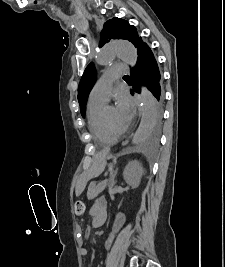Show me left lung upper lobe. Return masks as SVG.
Returning <instances> with one entry per match:
<instances>
[{
	"label": "left lung upper lobe",
	"instance_id": "left-lung-upper-lobe-1",
	"mask_svg": "<svg viewBox=\"0 0 225 267\" xmlns=\"http://www.w3.org/2000/svg\"><path fill=\"white\" fill-rule=\"evenodd\" d=\"M125 39L130 41L136 48L139 38L136 28L130 25L126 20L120 18H113L108 20L101 32L100 47L107 43L108 39ZM96 78L95 67L93 63H90L85 69L78 87V101L80 105L81 115L84 117L86 110V103L88 95L94 85ZM162 108L157 104L155 105V115L153 129L156 132L161 124Z\"/></svg>",
	"mask_w": 225,
	"mask_h": 267
}]
</instances>
